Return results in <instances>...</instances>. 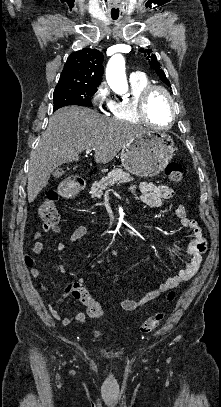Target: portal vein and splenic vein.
Listing matches in <instances>:
<instances>
[{
	"mask_svg": "<svg viewBox=\"0 0 221 407\" xmlns=\"http://www.w3.org/2000/svg\"><path fill=\"white\" fill-rule=\"evenodd\" d=\"M89 153H91V149L86 150V154H89Z\"/></svg>",
	"mask_w": 221,
	"mask_h": 407,
	"instance_id": "portal-vein-and-splenic-vein-1",
	"label": "portal vein and splenic vein"
}]
</instances>
